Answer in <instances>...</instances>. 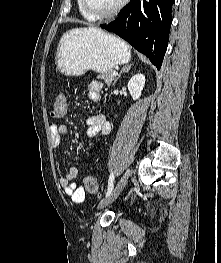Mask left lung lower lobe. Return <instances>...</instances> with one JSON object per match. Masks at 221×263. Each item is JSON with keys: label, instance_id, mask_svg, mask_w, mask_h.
<instances>
[{"label": "left lung lower lobe", "instance_id": "0a47b994", "mask_svg": "<svg viewBox=\"0 0 221 263\" xmlns=\"http://www.w3.org/2000/svg\"><path fill=\"white\" fill-rule=\"evenodd\" d=\"M175 0H131L118 18L101 27L146 55L159 70L167 49Z\"/></svg>", "mask_w": 221, "mask_h": 263}]
</instances>
